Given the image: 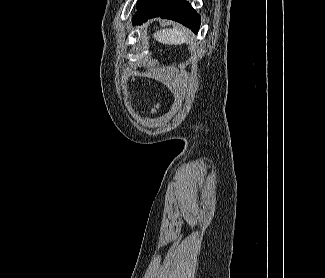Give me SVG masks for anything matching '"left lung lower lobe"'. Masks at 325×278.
Returning a JSON list of instances; mask_svg holds the SVG:
<instances>
[{
    "mask_svg": "<svg viewBox=\"0 0 325 278\" xmlns=\"http://www.w3.org/2000/svg\"><path fill=\"white\" fill-rule=\"evenodd\" d=\"M136 9L137 13L132 19L133 25L160 16L182 23L194 33H197L200 27V16L185 0H138Z\"/></svg>",
    "mask_w": 325,
    "mask_h": 278,
    "instance_id": "obj_1",
    "label": "left lung lower lobe"
}]
</instances>
